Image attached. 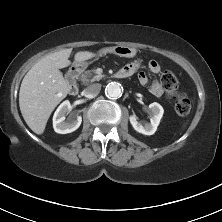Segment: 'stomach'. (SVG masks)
Returning a JSON list of instances; mask_svg holds the SVG:
<instances>
[{
  "mask_svg": "<svg viewBox=\"0 0 222 222\" xmlns=\"http://www.w3.org/2000/svg\"><path fill=\"white\" fill-rule=\"evenodd\" d=\"M109 52H112L120 57H127V58H131L134 57L136 55V49L133 47H129V46H116L113 47L109 50ZM89 65V62L85 61H77L75 60L73 63L74 67H78V68H86Z\"/></svg>",
  "mask_w": 222,
  "mask_h": 222,
  "instance_id": "obj_1",
  "label": "stomach"
}]
</instances>
